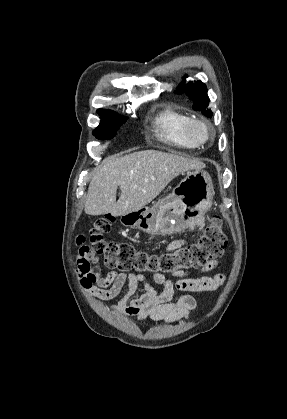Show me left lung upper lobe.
<instances>
[{
  "label": "left lung upper lobe",
  "mask_w": 287,
  "mask_h": 419,
  "mask_svg": "<svg viewBox=\"0 0 287 419\" xmlns=\"http://www.w3.org/2000/svg\"><path fill=\"white\" fill-rule=\"evenodd\" d=\"M177 94L186 93L194 101L193 109L201 111L205 116L212 117L213 112L208 108L209 97L206 85L201 81L189 82L187 86L182 83L176 90Z\"/></svg>",
  "instance_id": "5c2ea615"
}]
</instances>
